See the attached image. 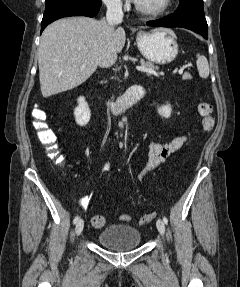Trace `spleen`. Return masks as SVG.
I'll return each instance as SVG.
<instances>
[{"instance_id":"1","label":"spleen","mask_w":240,"mask_h":287,"mask_svg":"<svg viewBox=\"0 0 240 287\" xmlns=\"http://www.w3.org/2000/svg\"><path fill=\"white\" fill-rule=\"evenodd\" d=\"M196 65L199 72V76L203 79H206L209 76V64L207 58L204 55H196Z\"/></svg>"}]
</instances>
